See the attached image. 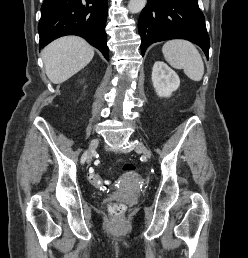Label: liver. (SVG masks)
<instances>
[{"label": "liver", "mask_w": 248, "mask_h": 258, "mask_svg": "<svg viewBox=\"0 0 248 258\" xmlns=\"http://www.w3.org/2000/svg\"><path fill=\"white\" fill-rule=\"evenodd\" d=\"M41 55L47 77L60 84L90 63L94 49L80 37L67 36L50 43Z\"/></svg>", "instance_id": "6515ba94"}]
</instances>
